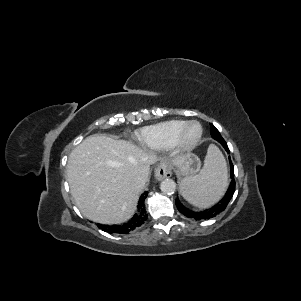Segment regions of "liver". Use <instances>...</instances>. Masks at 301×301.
Segmentation results:
<instances>
[{
  "label": "liver",
  "mask_w": 301,
  "mask_h": 301,
  "mask_svg": "<svg viewBox=\"0 0 301 301\" xmlns=\"http://www.w3.org/2000/svg\"><path fill=\"white\" fill-rule=\"evenodd\" d=\"M157 157L131 142L92 135L75 147L66 167L67 181L82 214L101 224L129 220L141 189L134 178L145 175Z\"/></svg>",
  "instance_id": "1"
}]
</instances>
